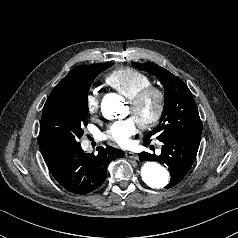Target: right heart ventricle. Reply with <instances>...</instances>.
Listing matches in <instances>:
<instances>
[{"mask_svg":"<svg viewBox=\"0 0 238 238\" xmlns=\"http://www.w3.org/2000/svg\"><path fill=\"white\" fill-rule=\"evenodd\" d=\"M105 83L130 99L151 83L150 78L132 68H119L104 77Z\"/></svg>","mask_w":238,"mask_h":238,"instance_id":"e07e8e85","label":"right heart ventricle"}]
</instances>
